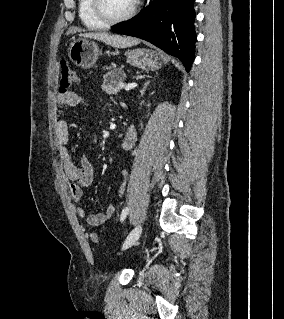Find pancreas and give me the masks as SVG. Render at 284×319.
Here are the masks:
<instances>
[{
	"instance_id": "pancreas-1",
	"label": "pancreas",
	"mask_w": 284,
	"mask_h": 319,
	"mask_svg": "<svg viewBox=\"0 0 284 319\" xmlns=\"http://www.w3.org/2000/svg\"><path fill=\"white\" fill-rule=\"evenodd\" d=\"M117 70H112L108 74L103 76V83L101 85L102 90L105 91L108 94H116L122 87L120 85L123 83L125 79V74L123 71H118L120 74V77L115 79L113 77V73L116 72Z\"/></svg>"
}]
</instances>
